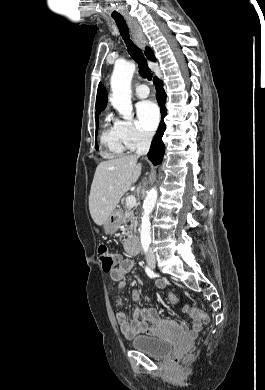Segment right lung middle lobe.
<instances>
[{
    "instance_id": "right-lung-middle-lobe-1",
    "label": "right lung middle lobe",
    "mask_w": 265,
    "mask_h": 390,
    "mask_svg": "<svg viewBox=\"0 0 265 390\" xmlns=\"http://www.w3.org/2000/svg\"><path fill=\"white\" fill-rule=\"evenodd\" d=\"M98 129V117H96V130ZM95 147H96V150H98V146L97 144L95 143Z\"/></svg>"
}]
</instances>
